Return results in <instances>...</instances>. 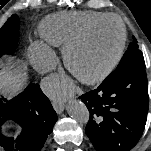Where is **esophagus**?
I'll return each mask as SVG.
<instances>
[{"label": "esophagus", "instance_id": "esophagus-1", "mask_svg": "<svg viewBox=\"0 0 151 151\" xmlns=\"http://www.w3.org/2000/svg\"><path fill=\"white\" fill-rule=\"evenodd\" d=\"M52 104H53V107H54V109H55V111L57 113L60 114V113H62L64 111L65 105H64V103L62 101L53 100Z\"/></svg>", "mask_w": 151, "mask_h": 151}]
</instances>
